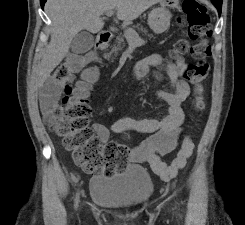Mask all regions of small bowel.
Masks as SVG:
<instances>
[{"label":"small bowel","instance_id":"obj_1","mask_svg":"<svg viewBox=\"0 0 245 225\" xmlns=\"http://www.w3.org/2000/svg\"><path fill=\"white\" fill-rule=\"evenodd\" d=\"M163 62L160 54H151L139 60L132 69V77L139 81L148 73L150 67L159 66ZM187 63L183 58L169 63L167 66V77L170 81V90L161 89L157 91V98L167 104L164 117L155 118H136L122 117L115 120L110 127L101 123H94L93 130L98 140L105 143L110 133L135 132L147 134L148 136L138 145L130 148L129 159L132 162L149 165L153 169L154 162L160 160L161 156L172 152L177 139L183 132L185 122V112L183 103L190 93V85L185 79L184 74ZM91 77L81 84L86 89H91L97 79L98 69L93 66L89 69ZM43 117L47 123L53 124L50 110L54 103L51 97H41ZM154 170V169H153Z\"/></svg>","mask_w":245,"mask_h":225}]
</instances>
